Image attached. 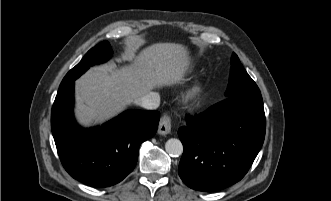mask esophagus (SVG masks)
<instances>
[{
  "label": "esophagus",
  "instance_id": "esophagus-1",
  "mask_svg": "<svg viewBox=\"0 0 331 201\" xmlns=\"http://www.w3.org/2000/svg\"><path fill=\"white\" fill-rule=\"evenodd\" d=\"M170 131H171V118L169 115L164 114L160 119L158 133L160 135H166L169 134Z\"/></svg>",
  "mask_w": 331,
  "mask_h": 201
}]
</instances>
